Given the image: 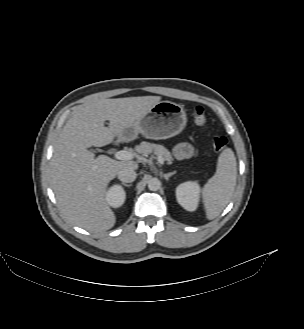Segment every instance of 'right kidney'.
Masks as SVG:
<instances>
[{"label": "right kidney", "instance_id": "1", "mask_svg": "<svg viewBox=\"0 0 304 329\" xmlns=\"http://www.w3.org/2000/svg\"><path fill=\"white\" fill-rule=\"evenodd\" d=\"M126 198L124 189L119 185H113L106 193V200L108 204L114 208H118L123 205Z\"/></svg>", "mask_w": 304, "mask_h": 329}]
</instances>
